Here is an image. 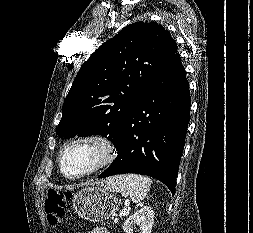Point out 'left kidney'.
<instances>
[{"label":"left kidney","instance_id":"obj_1","mask_svg":"<svg viewBox=\"0 0 253 233\" xmlns=\"http://www.w3.org/2000/svg\"><path fill=\"white\" fill-rule=\"evenodd\" d=\"M154 224V211L150 206H145L129 216L123 224L125 233H133V228L139 226V233H151Z\"/></svg>","mask_w":253,"mask_h":233}]
</instances>
